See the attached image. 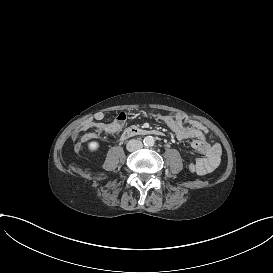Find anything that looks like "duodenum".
Segmentation results:
<instances>
[{
  "mask_svg": "<svg viewBox=\"0 0 273 273\" xmlns=\"http://www.w3.org/2000/svg\"><path fill=\"white\" fill-rule=\"evenodd\" d=\"M162 132L156 129H146L140 128L137 126H131L126 128L120 135L121 140H126L131 137L135 136H145V135H152V136H162Z\"/></svg>",
  "mask_w": 273,
  "mask_h": 273,
  "instance_id": "obj_1",
  "label": "duodenum"
}]
</instances>
